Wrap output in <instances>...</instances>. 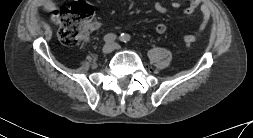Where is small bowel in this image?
Here are the masks:
<instances>
[{"label":"small bowel","instance_id":"obj_1","mask_svg":"<svg viewBox=\"0 0 253 138\" xmlns=\"http://www.w3.org/2000/svg\"><path fill=\"white\" fill-rule=\"evenodd\" d=\"M57 0H40L39 2V6L42 9H51L55 4H56ZM201 5L200 0H190L188 5L185 7H182L181 4L177 1H174L172 3V8L174 10H178L181 11L182 13L186 14V15H190L192 14L199 6ZM154 8L156 11L160 12V13H165L167 12V7L164 5L163 2L157 0L154 3ZM201 11L203 14V20L202 23L199 27V31H202L206 25L209 22L210 19V9L208 6L206 5H201ZM92 29H98L100 27V23L98 22H93L91 24ZM154 31L157 34H164L167 31V25L165 23H158L155 25L154 27Z\"/></svg>","mask_w":253,"mask_h":138}]
</instances>
